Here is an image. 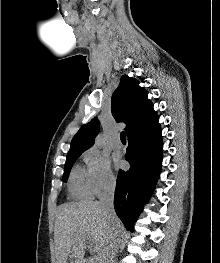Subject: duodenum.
<instances>
[{
	"label": "duodenum",
	"mask_w": 220,
	"mask_h": 263,
	"mask_svg": "<svg viewBox=\"0 0 220 263\" xmlns=\"http://www.w3.org/2000/svg\"><path fill=\"white\" fill-rule=\"evenodd\" d=\"M80 263H86V261H81Z\"/></svg>",
	"instance_id": "1"
}]
</instances>
